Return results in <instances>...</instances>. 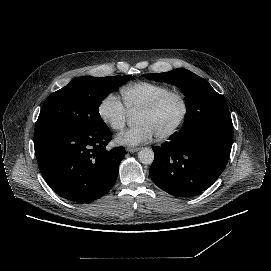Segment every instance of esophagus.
Wrapping results in <instances>:
<instances>
[{"instance_id":"esophagus-1","label":"esophagus","mask_w":271,"mask_h":271,"mask_svg":"<svg viewBox=\"0 0 271 271\" xmlns=\"http://www.w3.org/2000/svg\"><path fill=\"white\" fill-rule=\"evenodd\" d=\"M126 151L130 153H134L139 151V148H134V147H126Z\"/></svg>"}]
</instances>
